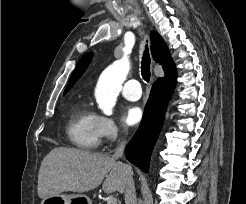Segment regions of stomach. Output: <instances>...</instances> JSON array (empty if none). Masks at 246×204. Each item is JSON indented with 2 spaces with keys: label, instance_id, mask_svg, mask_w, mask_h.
<instances>
[{
  "label": "stomach",
  "instance_id": "0dacf381",
  "mask_svg": "<svg viewBox=\"0 0 246 204\" xmlns=\"http://www.w3.org/2000/svg\"><path fill=\"white\" fill-rule=\"evenodd\" d=\"M41 204H92V201L88 196L83 194H57L43 199Z\"/></svg>",
  "mask_w": 246,
  "mask_h": 204
}]
</instances>
